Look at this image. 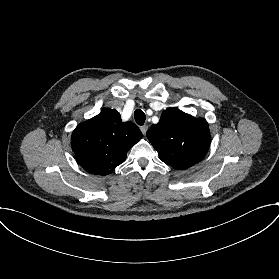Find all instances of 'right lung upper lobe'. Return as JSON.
<instances>
[{"instance_id":"cb5924a9","label":"right lung upper lobe","mask_w":279,"mask_h":279,"mask_svg":"<svg viewBox=\"0 0 279 279\" xmlns=\"http://www.w3.org/2000/svg\"><path fill=\"white\" fill-rule=\"evenodd\" d=\"M141 138L133 122L123 123L116 110L106 108L76 127L71 147L86 171L105 175L125 161L128 150Z\"/></svg>"}]
</instances>
